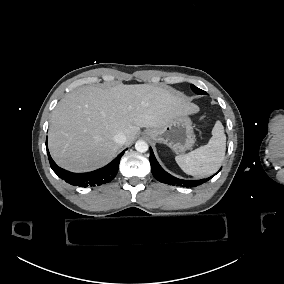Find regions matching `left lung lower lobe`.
Masks as SVG:
<instances>
[{"label":"left lung lower lobe","mask_w":284,"mask_h":284,"mask_svg":"<svg viewBox=\"0 0 284 284\" xmlns=\"http://www.w3.org/2000/svg\"><path fill=\"white\" fill-rule=\"evenodd\" d=\"M150 164H151V171L153 176L160 182L167 183L169 185H177L183 187H194L198 186L205 181L211 179L213 176L209 177L208 179L202 180H182L178 179L169 173H167L157 162L152 149L150 148Z\"/></svg>","instance_id":"1"}]
</instances>
